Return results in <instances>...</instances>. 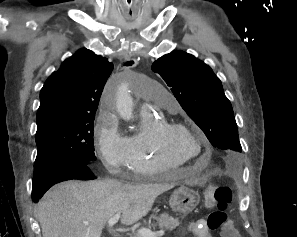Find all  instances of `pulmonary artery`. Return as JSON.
Wrapping results in <instances>:
<instances>
[{"instance_id":"1","label":"pulmonary artery","mask_w":297,"mask_h":237,"mask_svg":"<svg viewBox=\"0 0 297 237\" xmlns=\"http://www.w3.org/2000/svg\"><path fill=\"white\" fill-rule=\"evenodd\" d=\"M154 102L156 105L166 108V109H169V110H172V111H175L178 108L177 101L169 93H165L164 95L157 97L154 100ZM142 109L145 111L147 109V107L144 106Z\"/></svg>"}]
</instances>
